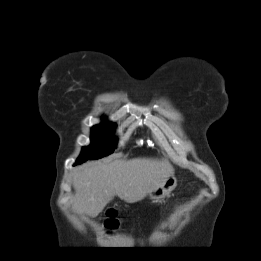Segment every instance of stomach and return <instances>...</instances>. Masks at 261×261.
<instances>
[{"label":"stomach","instance_id":"stomach-1","mask_svg":"<svg viewBox=\"0 0 261 261\" xmlns=\"http://www.w3.org/2000/svg\"><path fill=\"white\" fill-rule=\"evenodd\" d=\"M176 185H177V179L172 174L167 178V180L161 186L153 189L149 193V197L153 200H159L161 198H164L176 187Z\"/></svg>","mask_w":261,"mask_h":261}]
</instances>
